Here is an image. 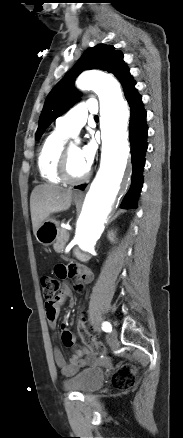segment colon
Listing matches in <instances>:
<instances>
[{"mask_svg":"<svg viewBox=\"0 0 183 438\" xmlns=\"http://www.w3.org/2000/svg\"><path fill=\"white\" fill-rule=\"evenodd\" d=\"M43 296L47 301H51L55 298L57 292L60 289V283L57 279L51 276H45L41 279ZM77 330L82 342L90 348V350L96 355H102L106 352L105 346L94 340L93 336L88 330V314L84 309H81ZM136 382V370L130 364H124L118 367L112 377L113 386L120 390L125 391L134 386Z\"/></svg>","mask_w":183,"mask_h":438,"instance_id":"obj_1","label":"colon"}]
</instances>
